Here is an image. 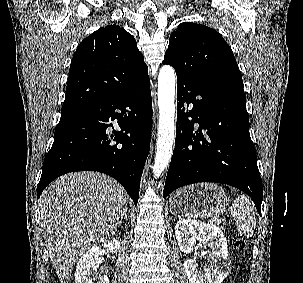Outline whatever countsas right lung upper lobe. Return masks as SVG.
I'll return each mask as SVG.
<instances>
[{
	"instance_id": "cb5924a9",
	"label": "right lung upper lobe",
	"mask_w": 303,
	"mask_h": 283,
	"mask_svg": "<svg viewBox=\"0 0 303 283\" xmlns=\"http://www.w3.org/2000/svg\"><path fill=\"white\" fill-rule=\"evenodd\" d=\"M149 80L134 37L117 25L93 32L78 46L61 114L127 93Z\"/></svg>"
}]
</instances>
